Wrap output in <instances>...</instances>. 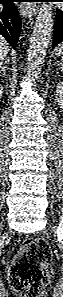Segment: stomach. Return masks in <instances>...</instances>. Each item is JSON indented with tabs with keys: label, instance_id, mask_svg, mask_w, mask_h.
Listing matches in <instances>:
<instances>
[{
	"label": "stomach",
	"instance_id": "obj_1",
	"mask_svg": "<svg viewBox=\"0 0 63 297\" xmlns=\"http://www.w3.org/2000/svg\"><path fill=\"white\" fill-rule=\"evenodd\" d=\"M59 54H63V50L61 48L59 49Z\"/></svg>",
	"mask_w": 63,
	"mask_h": 297
}]
</instances>
